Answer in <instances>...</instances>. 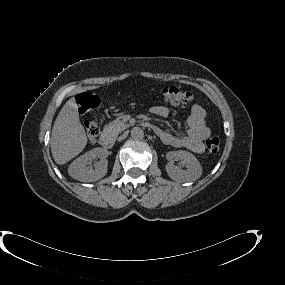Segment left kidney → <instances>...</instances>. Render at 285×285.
I'll return each mask as SVG.
<instances>
[{
  "label": "left kidney",
  "mask_w": 285,
  "mask_h": 285,
  "mask_svg": "<svg viewBox=\"0 0 285 285\" xmlns=\"http://www.w3.org/2000/svg\"><path fill=\"white\" fill-rule=\"evenodd\" d=\"M170 159H179L185 163L186 170L176 167L172 162L166 165L168 175L174 180L194 181L200 178L202 167L198 159L188 151H172L169 152Z\"/></svg>",
  "instance_id": "left-kidney-1"
}]
</instances>
